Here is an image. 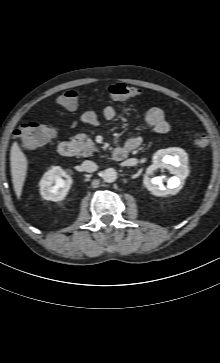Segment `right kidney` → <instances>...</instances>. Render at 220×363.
<instances>
[{
  "label": "right kidney",
  "mask_w": 220,
  "mask_h": 363,
  "mask_svg": "<svg viewBox=\"0 0 220 363\" xmlns=\"http://www.w3.org/2000/svg\"><path fill=\"white\" fill-rule=\"evenodd\" d=\"M72 182L71 177L61 167H52L39 183L40 193L45 200L61 201L67 195Z\"/></svg>",
  "instance_id": "1"
}]
</instances>
